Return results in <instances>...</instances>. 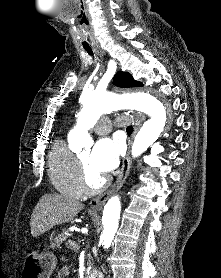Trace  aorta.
Wrapping results in <instances>:
<instances>
[{"label": "aorta", "mask_w": 221, "mask_h": 278, "mask_svg": "<svg viewBox=\"0 0 221 278\" xmlns=\"http://www.w3.org/2000/svg\"><path fill=\"white\" fill-rule=\"evenodd\" d=\"M83 108L78 116L76 126L70 132L71 143L85 145L90 141L88 130L99 120L102 114L110 113L120 108H132L150 116L132 144V156H140L153 144L162 133L166 123V111L163 104L149 94H137L119 102L110 93L92 91L82 97ZM121 203L117 195L112 196L104 206L101 235L102 245L108 249L118 229Z\"/></svg>", "instance_id": "obj_1"}]
</instances>
